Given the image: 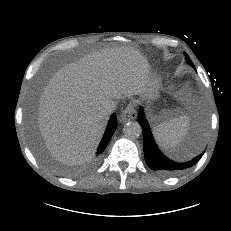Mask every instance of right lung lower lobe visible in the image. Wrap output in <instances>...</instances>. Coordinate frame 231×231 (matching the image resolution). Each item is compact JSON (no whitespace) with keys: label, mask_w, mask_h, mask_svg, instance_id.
Listing matches in <instances>:
<instances>
[{"label":"right lung lower lobe","mask_w":231,"mask_h":231,"mask_svg":"<svg viewBox=\"0 0 231 231\" xmlns=\"http://www.w3.org/2000/svg\"><path fill=\"white\" fill-rule=\"evenodd\" d=\"M116 128H117L116 115L113 114L110 118L108 125H107L106 131H105L104 136L102 138V141L98 147L97 156L105 150V148L107 147V145H108L113 133L115 132Z\"/></svg>","instance_id":"obj_1"}]
</instances>
